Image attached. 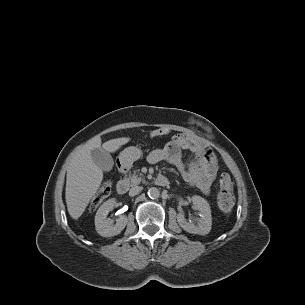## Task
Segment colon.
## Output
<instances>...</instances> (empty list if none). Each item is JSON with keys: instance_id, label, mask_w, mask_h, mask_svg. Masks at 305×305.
Returning a JSON list of instances; mask_svg holds the SVG:
<instances>
[{"instance_id": "1", "label": "colon", "mask_w": 305, "mask_h": 305, "mask_svg": "<svg viewBox=\"0 0 305 305\" xmlns=\"http://www.w3.org/2000/svg\"><path fill=\"white\" fill-rule=\"evenodd\" d=\"M169 132L166 128H158L151 132L150 136L160 137ZM219 193L217 197L218 208L223 213H230L235 205V199L232 193V180L228 174H222L219 178ZM111 191V182L105 181L98 191L95 193L90 203V209L94 210L97 206L106 199Z\"/></svg>"}]
</instances>
